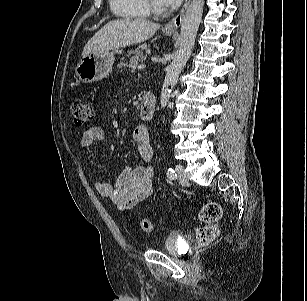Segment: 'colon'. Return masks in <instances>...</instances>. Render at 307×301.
Segmentation results:
<instances>
[{
	"label": "colon",
	"mask_w": 307,
	"mask_h": 301,
	"mask_svg": "<svg viewBox=\"0 0 307 301\" xmlns=\"http://www.w3.org/2000/svg\"><path fill=\"white\" fill-rule=\"evenodd\" d=\"M70 112L74 123L77 126H85L94 117L93 106L81 99H73L69 104ZM222 216V210L216 202H208L202 206L199 212V219L204 223L197 229V239L201 244H208L214 241L219 234L218 222ZM139 228L143 232H151L153 229L149 219H141Z\"/></svg>",
	"instance_id": "obj_1"
}]
</instances>
